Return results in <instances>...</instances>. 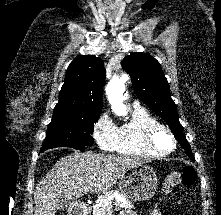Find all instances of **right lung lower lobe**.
Masks as SVG:
<instances>
[{
  "label": "right lung lower lobe",
  "instance_id": "98d812e1",
  "mask_svg": "<svg viewBox=\"0 0 221 215\" xmlns=\"http://www.w3.org/2000/svg\"><path fill=\"white\" fill-rule=\"evenodd\" d=\"M76 149L80 150V151H84L85 147L84 146H80V147H77ZM45 150H47V149H43V151H45ZM43 151H41V152H43Z\"/></svg>",
  "mask_w": 221,
  "mask_h": 215
}]
</instances>
